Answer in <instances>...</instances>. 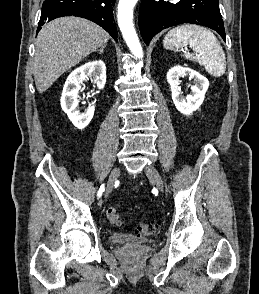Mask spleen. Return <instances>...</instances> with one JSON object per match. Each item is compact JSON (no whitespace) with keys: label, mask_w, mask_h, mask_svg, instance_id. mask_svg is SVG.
I'll return each instance as SVG.
<instances>
[{"label":"spleen","mask_w":259,"mask_h":294,"mask_svg":"<svg viewBox=\"0 0 259 294\" xmlns=\"http://www.w3.org/2000/svg\"><path fill=\"white\" fill-rule=\"evenodd\" d=\"M163 45L169 50H178L190 45L194 53H184L183 57L197 61L214 77H220L226 71V57L218 39L203 27L197 25L175 27L166 34Z\"/></svg>","instance_id":"1"}]
</instances>
